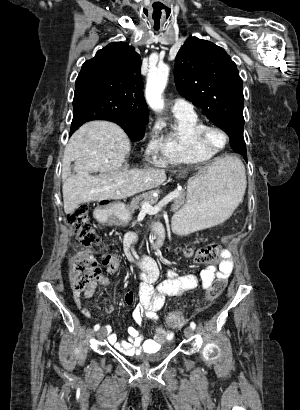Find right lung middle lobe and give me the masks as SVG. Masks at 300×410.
<instances>
[{
  "mask_svg": "<svg viewBox=\"0 0 300 410\" xmlns=\"http://www.w3.org/2000/svg\"><path fill=\"white\" fill-rule=\"evenodd\" d=\"M110 102L98 89L92 87H76L73 99V120L70 134L83 123L103 119L117 123L134 141L140 140L145 131L146 120H132L116 116L112 113Z\"/></svg>",
  "mask_w": 300,
  "mask_h": 410,
  "instance_id": "1",
  "label": "right lung middle lobe"
}]
</instances>
